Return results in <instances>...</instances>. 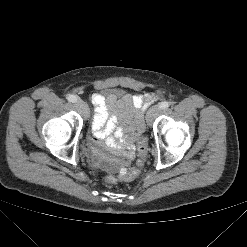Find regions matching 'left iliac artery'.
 I'll list each match as a JSON object with an SVG mask.
<instances>
[{"mask_svg": "<svg viewBox=\"0 0 247 247\" xmlns=\"http://www.w3.org/2000/svg\"><path fill=\"white\" fill-rule=\"evenodd\" d=\"M170 106V103L167 101L161 102L159 107L160 109H167Z\"/></svg>", "mask_w": 247, "mask_h": 247, "instance_id": "1", "label": "left iliac artery"}]
</instances>
